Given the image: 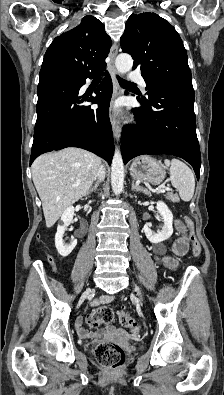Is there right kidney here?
<instances>
[{
    "label": "right kidney",
    "mask_w": 224,
    "mask_h": 395,
    "mask_svg": "<svg viewBox=\"0 0 224 395\" xmlns=\"http://www.w3.org/2000/svg\"><path fill=\"white\" fill-rule=\"evenodd\" d=\"M73 216H74V207L70 206L63 212L61 216V221L63 222V225H59L57 227V232L55 235V246L58 253L62 257L68 256L77 245V240L74 238L71 239V242L69 244H65L63 241V235L67 230V227L71 223Z\"/></svg>",
    "instance_id": "1"
}]
</instances>
